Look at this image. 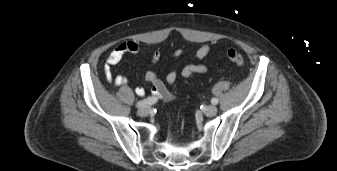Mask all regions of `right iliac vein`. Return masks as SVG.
<instances>
[{"label": "right iliac vein", "mask_w": 337, "mask_h": 171, "mask_svg": "<svg viewBox=\"0 0 337 171\" xmlns=\"http://www.w3.org/2000/svg\"><path fill=\"white\" fill-rule=\"evenodd\" d=\"M149 112H150V108L149 107H141L138 110V115L141 116V117H144V116L148 115Z\"/></svg>", "instance_id": "obj_1"}]
</instances>
